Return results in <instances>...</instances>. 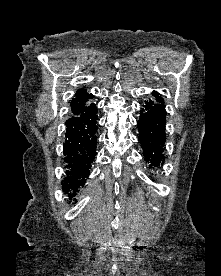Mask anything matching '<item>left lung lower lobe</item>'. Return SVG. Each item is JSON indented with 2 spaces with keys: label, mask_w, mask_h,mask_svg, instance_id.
I'll return each instance as SVG.
<instances>
[{
  "label": "left lung lower lobe",
  "mask_w": 221,
  "mask_h": 276,
  "mask_svg": "<svg viewBox=\"0 0 221 276\" xmlns=\"http://www.w3.org/2000/svg\"><path fill=\"white\" fill-rule=\"evenodd\" d=\"M165 125V105L152 100L145 101L137 126L140 133L139 142L150 168L164 164Z\"/></svg>",
  "instance_id": "obj_1"
}]
</instances>
